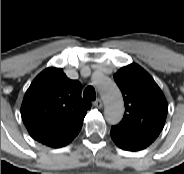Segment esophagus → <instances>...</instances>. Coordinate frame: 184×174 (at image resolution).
I'll return each instance as SVG.
<instances>
[{
	"label": "esophagus",
	"instance_id": "esophagus-1",
	"mask_svg": "<svg viewBox=\"0 0 184 174\" xmlns=\"http://www.w3.org/2000/svg\"><path fill=\"white\" fill-rule=\"evenodd\" d=\"M93 105L97 108H101L103 106V102L100 98H98L94 103Z\"/></svg>",
	"mask_w": 184,
	"mask_h": 174
}]
</instances>
